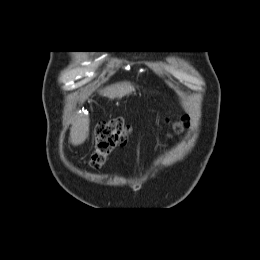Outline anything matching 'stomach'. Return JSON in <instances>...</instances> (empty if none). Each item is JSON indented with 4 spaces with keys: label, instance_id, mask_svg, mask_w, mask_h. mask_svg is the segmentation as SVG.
Returning a JSON list of instances; mask_svg holds the SVG:
<instances>
[{
    "label": "stomach",
    "instance_id": "1",
    "mask_svg": "<svg viewBox=\"0 0 260 260\" xmlns=\"http://www.w3.org/2000/svg\"><path fill=\"white\" fill-rule=\"evenodd\" d=\"M119 89L116 91V97H121L122 94L126 95L130 92L131 87L127 84L117 85Z\"/></svg>",
    "mask_w": 260,
    "mask_h": 260
}]
</instances>
